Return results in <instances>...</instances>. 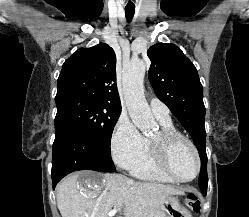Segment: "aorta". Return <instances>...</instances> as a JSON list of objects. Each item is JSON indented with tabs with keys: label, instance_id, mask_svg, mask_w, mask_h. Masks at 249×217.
I'll return each mask as SVG.
<instances>
[{
	"label": "aorta",
	"instance_id": "762f6f07",
	"mask_svg": "<svg viewBox=\"0 0 249 217\" xmlns=\"http://www.w3.org/2000/svg\"><path fill=\"white\" fill-rule=\"evenodd\" d=\"M145 70L146 65L142 60L131 62L123 72V89L132 122L143 133H149L156 123L144 96Z\"/></svg>",
	"mask_w": 249,
	"mask_h": 217
}]
</instances>
